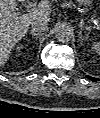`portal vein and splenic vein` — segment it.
I'll return each mask as SVG.
<instances>
[{"label": "portal vein and splenic vein", "instance_id": "portal-vein-and-splenic-vein-1", "mask_svg": "<svg viewBox=\"0 0 100 118\" xmlns=\"http://www.w3.org/2000/svg\"><path fill=\"white\" fill-rule=\"evenodd\" d=\"M25 7H26L27 10H29L31 12H35V11L38 10V5L36 3H33V2H28Z\"/></svg>", "mask_w": 100, "mask_h": 118}]
</instances>
